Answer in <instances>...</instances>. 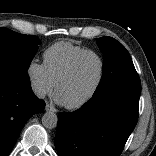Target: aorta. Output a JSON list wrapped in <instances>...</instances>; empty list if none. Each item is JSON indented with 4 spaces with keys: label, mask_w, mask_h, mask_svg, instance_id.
<instances>
[{
    "label": "aorta",
    "mask_w": 156,
    "mask_h": 156,
    "mask_svg": "<svg viewBox=\"0 0 156 156\" xmlns=\"http://www.w3.org/2000/svg\"><path fill=\"white\" fill-rule=\"evenodd\" d=\"M58 117L54 112H46L42 116V124L47 129H54L57 127Z\"/></svg>",
    "instance_id": "762f6f07"
}]
</instances>
